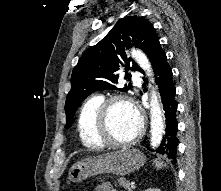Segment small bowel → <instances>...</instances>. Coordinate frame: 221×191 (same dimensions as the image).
I'll use <instances>...</instances> for the list:
<instances>
[{
    "label": "small bowel",
    "instance_id": "small-bowel-1",
    "mask_svg": "<svg viewBox=\"0 0 221 191\" xmlns=\"http://www.w3.org/2000/svg\"><path fill=\"white\" fill-rule=\"evenodd\" d=\"M98 191H117L113 184L109 181H104L100 183Z\"/></svg>",
    "mask_w": 221,
    "mask_h": 191
}]
</instances>
